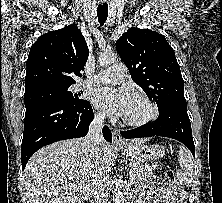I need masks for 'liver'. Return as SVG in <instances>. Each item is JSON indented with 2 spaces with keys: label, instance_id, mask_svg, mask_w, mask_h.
I'll return each instance as SVG.
<instances>
[{
  "label": "liver",
  "instance_id": "1",
  "mask_svg": "<svg viewBox=\"0 0 222 203\" xmlns=\"http://www.w3.org/2000/svg\"><path fill=\"white\" fill-rule=\"evenodd\" d=\"M145 139H134L142 144ZM98 157L85 151L83 139L63 140L38 150L24 170V186L30 203H81L99 171L109 173L117 159L115 149L102 141Z\"/></svg>",
  "mask_w": 222,
  "mask_h": 203
}]
</instances>
